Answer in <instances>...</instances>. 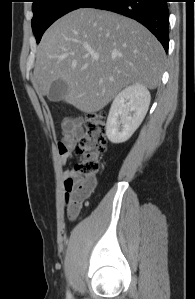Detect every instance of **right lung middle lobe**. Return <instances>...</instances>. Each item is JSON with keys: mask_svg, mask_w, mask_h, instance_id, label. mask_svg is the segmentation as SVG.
<instances>
[{"mask_svg": "<svg viewBox=\"0 0 195 299\" xmlns=\"http://www.w3.org/2000/svg\"><path fill=\"white\" fill-rule=\"evenodd\" d=\"M89 0H33L32 30L37 43L44 31L61 16L82 7Z\"/></svg>", "mask_w": 195, "mask_h": 299, "instance_id": "1", "label": "right lung middle lobe"}]
</instances>
